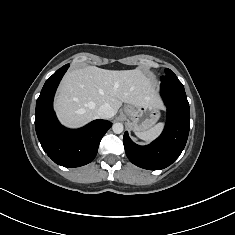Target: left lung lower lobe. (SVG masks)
<instances>
[{"instance_id": "0a47b994", "label": "left lung lower lobe", "mask_w": 235, "mask_h": 235, "mask_svg": "<svg viewBox=\"0 0 235 235\" xmlns=\"http://www.w3.org/2000/svg\"><path fill=\"white\" fill-rule=\"evenodd\" d=\"M161 95L167 107L162 134L146 146L135 144L124 133L123 144L129 160L144 169L159 170L171 165L183 151L190 129L189 103L178 79L161 77Z\"/></svg>"}]
</instances>
